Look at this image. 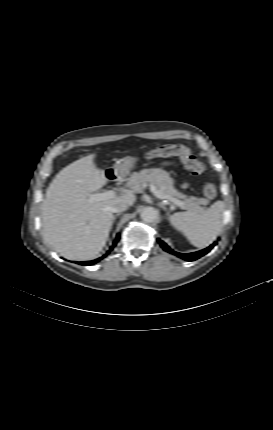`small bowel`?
I'll list each match as a JSON object with an SVG mask.
<instances>
[{"label":"small bowel","instance_id":"small-bowel-1","mask_svg":"<svg viewBox=\"0 0 273 430\" xmlns=\"http://www.w3.org/2000/svg\"><path fill=\"white\" fill-rule=\"evenodd\" d=\"M168 163H164V165H167ZM183 186L185 187L186 186V184H183Z\"/></svg>","mask_w":273,"mask_h":430}]
</instances>
